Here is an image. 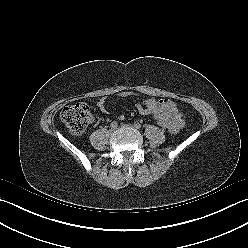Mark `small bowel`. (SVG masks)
<instances>
[{"instance_id":"c3829d8e","label":"small bowel","mask_w":248,"mask_h":248,"mask_svg":"<svg viewBox=\"0 0 248 248\" xmlns=\"http://www.w3.org/2000/svg\"><path fill=\"white\" fill-rule=\"evenodd\" d=\"M138 96L131 91H121L118 93L119 98ZM107 98L102 97L98 101V106L102 112H106ZM143 105L138 103L136 108L142 115H152L156 120H166L169 124V130L177 133L183 126L182 115L177 105L168 99L157 100L155 98H142Z\"/></svg>"}]
</instances>
